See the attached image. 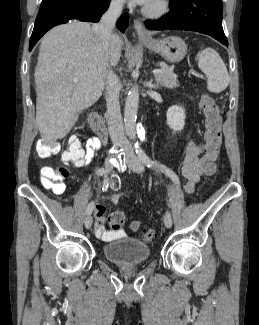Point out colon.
<instances>
[{"label":"colon","mask_w":259,"mask_h":325,"mask_svg":"<svg viewBox=\"0 0 259 325\" xmlns=\"http://www.w3.org/2000/svg\"><path fill=\"white\" fill-rule=\"evenodd\" d=\"M200 107L205 117V132L204 141L206 149L210 152L219 149L221 142V118L218 105L215 99L209 94H202L200 96ZM59 142H44L39 141L36 145L37 154L40 157H49L60 150ZM82 155V146L80 142L71 138L69 141V147L65 151L63 157L67 162H73L79 159ZM216 167L214 164H209L205 168V174L211 177L215 174ZM69 175L68 167L59 168H46L41 171V184L44 188L52 190L55 193H61L64 190L63 181ZM125 221V216L122 211H116L112 213L108 219L109 226L113 231H119L122 229ZM131 229L133 231L142 232L141 238L144 242H151L155 237V232L152 228L141 229V223L139 221H133L131 223Z\"/></svg>","instance_id":"colon-1"}]
</instances>
